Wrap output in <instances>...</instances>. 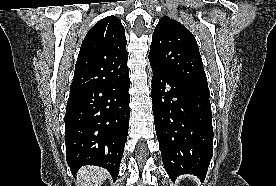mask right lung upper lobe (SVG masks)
<instances>
[{"mask_svg": "<svg viewBox=\"0 0 276 186\" xmlns=\"http://www.w3.org/2000/svg\"><path fill=\"white\" fill-rule=\"evenodd\" d=\"M125 30L121 20L109 16L97 22L85 36L70 91L113 83L129 74Z\"/></svg>", "mask_w": 276, "mask_h": 186, "instance_id": "obj_1", "label": "right lung upper lobe"}]
</instances>
